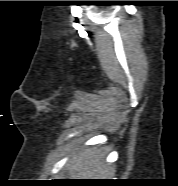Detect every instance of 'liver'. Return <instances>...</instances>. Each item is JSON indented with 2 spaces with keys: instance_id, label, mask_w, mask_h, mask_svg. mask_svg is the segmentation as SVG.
I'll use <instances>...</instances> for the list:
<instances>
[{
  "instance_id": "6515ba94",
  "label": "liver",
  "mask_w": 178,
  "mask_h": 186,
  "mask_svg": "<svg viewBox=\"0 0 178 186\" xmlns=\"http://www.w3.org/2000/svg\"><path fill=\"white\" fill-rule=\"evenodd\" d=\"M105 152L93 147L74 151L66 164L72 179H105L113 176V171L104 161Z\"/></svg>"
}]
</instances>
